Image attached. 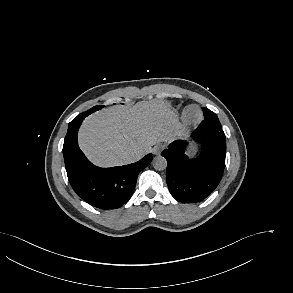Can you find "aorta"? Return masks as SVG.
Masks as SVG:
<instances>
[{
  "instance_id": "aorta-1",
  "label": "aorta",
  "mask_w": 293,
  "mask_h": 293,
  "mask_svg": "<svg viewBox=\"0 0 293 293\" xmlns=\"http://www.w3.org/2000/svg\"><path fill=\"white\" fill-rule=\"evenodd\" d=\"M153 167L156 170H164L167 167V160L163 156H157L153 160Z\"/></svg>"
}]
</instances>
